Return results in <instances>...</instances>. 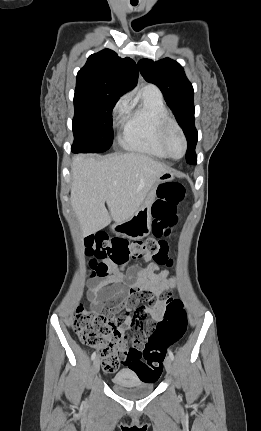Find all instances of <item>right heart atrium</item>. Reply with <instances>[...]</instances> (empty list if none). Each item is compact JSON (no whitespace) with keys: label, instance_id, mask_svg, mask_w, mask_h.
I'll return each mask as SVG.
<instances>
[{"label":"right heart atrium","instance_id":"obj_1","mask_svg":"<svg viewBox=\"0 0 261 431\" xmlns=\"http://www.w3.org/2000/svg\"><path fill=\"white\" fill-rule=\"evenodd\" d=\"M129 106V98L127 95L121 97L114 106L113 118L116 122L122 121Z\"/></svg>","mask_w":261,"mask_h":431}]
</instances>
